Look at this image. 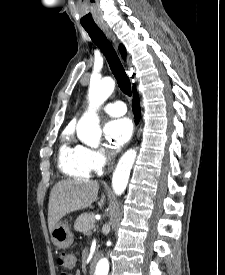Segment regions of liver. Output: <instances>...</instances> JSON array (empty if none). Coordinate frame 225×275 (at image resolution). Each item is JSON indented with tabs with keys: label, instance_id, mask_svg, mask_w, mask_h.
<instances>
[{
	"label": "liver",
	"instance_id": "obj_1",
	"mask_svg": "<svg viewBox=\"0 0 225 275\" xmlns=\"http://www.w3.org/2000/svg\"><path fill=\"white\" fill-rule=\"evenodd\" d=\"M99 184L85 179H67L54 185L48 204L49 231L67 214L89 207L97 198ZM105 196L102 195L103 204Z\"/></svg>",
	"mask_w": 225,
	"mask_h": 275
}]
</instances>
